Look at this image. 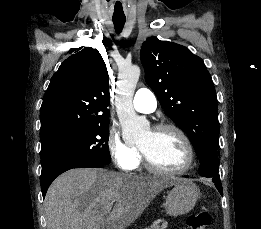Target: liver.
Segmentation results:
<instances>
[{"instance_id": "obj_1", "label": "liver", "mask_w": 261, "mask_h": 229, "mask_svg": "<svg viewBox=\"0 0 261 229\" xmlns=\"http://www.w3.org/2000/svg\"><path fill=\"white\" fill-rule=\"evenodd\" d=\"M167 187H171V181L161 177L71 169L60 175L46 193V229H125ZM110 201H117L113 209Z\"/></svg>"}]
</instances>
